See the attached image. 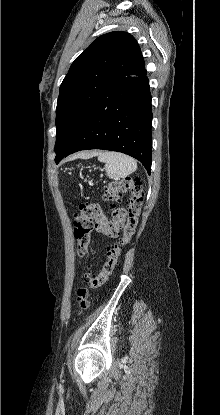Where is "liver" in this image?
<instances>
[{"label": "liver", "mask_w": 220, "mask_h": 415, "mask_svg": "<svg viewBox=\"0 0 220 415\" xmlns=\"http://www.w3.org/2000/svg\"><path fill=\"white\" fill-rule=\"evenodd\" d=\"M87 156H93V155H96V152H91V153H88V154H86Z\"/></svg>", "instance_id": "obj_1"}]
</instances>
